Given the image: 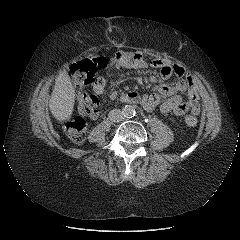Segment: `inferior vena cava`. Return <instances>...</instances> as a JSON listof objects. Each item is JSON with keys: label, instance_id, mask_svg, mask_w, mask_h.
I'll use <instances>...</instances> for the list:
<instances>
[{"label": "inferior vena cava", "instance_id": "obj_1", "mask_svg": "<svg viewBox=\"0 0 240 240\" xmlns=\"http://www.w3.org/2000/svg\"><path fill=\"white\" fill-rule=\"evenodd\" d=\"M109 118L113 122L123 121L124 115L119 109H113L109 112Z\"/></svg>", "mask_w": 240, "mask_h": 240}]
</instances>
